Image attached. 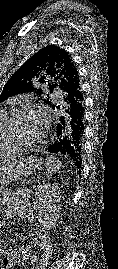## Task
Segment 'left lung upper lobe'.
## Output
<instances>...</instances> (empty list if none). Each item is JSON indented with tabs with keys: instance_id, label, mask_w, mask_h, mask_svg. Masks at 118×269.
I'll return each instance as SVG.
<instances>
[{
	"instance_id": "1",
	"label": "left lung upper lobe",
	"mask_w": 118,
	"mask_h": 269,
	"mask_svg": "<svg viewBox=\"0 0 118 269\" xmlns=\"http://www.w3.org/2000/svg\"><path fill=\"white\" fill-rule=\"evenodd\" d=\"M38 83L47 84L50 92L59 87L65 94L80 87L78 71L65 49L48 45L30 57L5 84L0 103L20 93L35 92L41 95L42 89L35 87ZM48 96L44 102L54 108Z\"/></svg>"
}]
</instances>
